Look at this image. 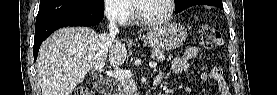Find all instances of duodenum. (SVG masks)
<instances>
[{
    "label": "duodenum",
    "instance_id": "duodenum-1",
    "mask_svg": "<svg viewBox=\"0 0 277 95\" xmlns=\"http://www.w3.org/2000/svg\"><path fill=\"white\" fill-rule=\"evenodd\" d=\"M94 88L98 94H111L112 93V83L110 81H98L95 83ZM156 94V93H153Z\"/></svg>",
    "mask_w": 277,
    "mask_h": 95
}]
</instances>
